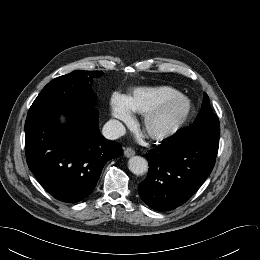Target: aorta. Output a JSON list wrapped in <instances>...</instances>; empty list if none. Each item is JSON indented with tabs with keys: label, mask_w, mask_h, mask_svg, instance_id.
I'll use <instances>...</instances> for the list:
<instances>
[{
	"label": "aorta",
	"mask_w": 260,
	"mask_h": 260,
	"mask_svg": "<svg viewBox=\"0 0 260 260\" xmlns=\"http://www.w3.org/2000/svg\"><path fill=\"white\" fill-rule=\"evenodd\" d=\"M129 170L135 175H142L148 170V162L141 156H133L128 161Z\"/></svg>",
	"instance_id": "1"
}]
</instances>
